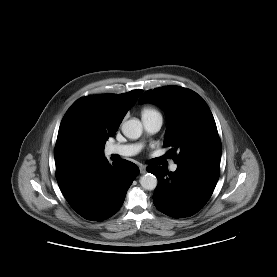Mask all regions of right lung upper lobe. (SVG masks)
Segmentation results:
<instances>
[{"mask_svg": "<svg viewBox=\"0 0 277 277\" xmlns=\"http://www.w3.org/2000/svg\"><path fill=\"white\" fill-rule=\"evenodd\" d=\"M142 92L92 95L77 100L59 127L54 152L56 169L103 159L97 136H113Z\"/></svg>", "mask_w": 277, "mask_h": 277, "instance_id": "cb5924a9", "label": "right lung upper lobe"}]
</instances>
